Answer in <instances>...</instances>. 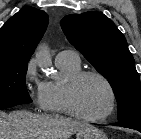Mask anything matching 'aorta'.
Returning <instances> with one entry per match:
<instances>
[{
  "instance_id": "762f6f07",
  "label": "aorta",
  "mask_w": 141,
  "mask_h": 139,
  "mask_svg": "<svg viewBox=\"0 0 141 139\" xmlns=\"http://www.w3.org/2000/svg\"><path fill=\"white\" fill-rule=\"evenodd\" d=\"M35 57L40 67L48 68L51 65V56L46 45L42 44L38 47Z\"/></svg>"
}]
</instances>
